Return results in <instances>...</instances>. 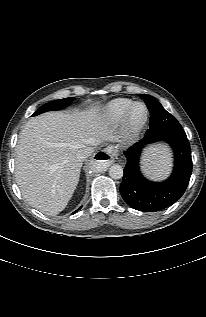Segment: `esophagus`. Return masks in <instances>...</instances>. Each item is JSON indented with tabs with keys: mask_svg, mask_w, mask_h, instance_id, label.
I'll return each mask as SVG.
<instances>
[{
	"mask_svg": "<svg viewBox=\"0 0 206 317\" xmlns=\"http://www.w3.org/2000/svg\"><path fill=\"white\" fill-rule=\"evenodd\" d=\"M118 150L114 146H108L104 150L98 152L94 161L104 164V166H109L114 162V156L117 154Z\"/></svg>",
	"mask_w": 206,
	"mask_h": 317,
	"instance_id": "34e87169",
	"label": "esophagus"
}]
</instances>
